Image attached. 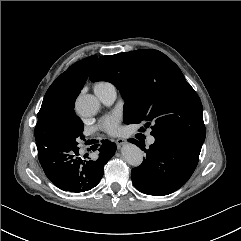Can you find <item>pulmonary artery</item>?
<instances>
[{
  "label": "pulmonary artery",
  "instance_id": "1",
  "mask_svg": "<svg viewBox=\"0 0 241 241\" xmlns=\"http://www.w3.org/2000/svg\"><path fill=\"white\" fill-rule=\"evenodd\" d=\"M94 92L100 101L105 105H111L117 96L116 88L112 84L104 87L94 88ZM154 141L155 138L153 136L148 138L149 144H153Z\"/></svg>",
  "mask_w": 241,
  "mask_h": 241
}]
</instances>
